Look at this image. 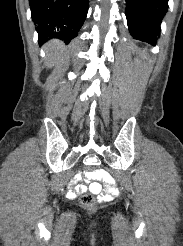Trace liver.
Segmentation results:
<instances>
[{"label":"liver","instance_id":"1","mask_svg":"<svg viewBox=\"0 0 183 246\" xmlns=\"http://www.w3.org/2000/svg\"><path fill=\"white\" fill-rule=\"evenodd\" d=\"M45 49L47 52L46 65L48 68L53 67L64 56V45L59 40L50 41L47 43Z\"/></svg>","mask_w":183,"mask_h":246}]
</instances>
